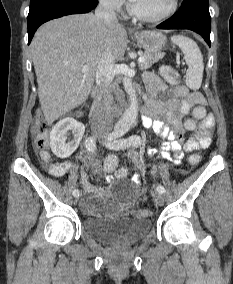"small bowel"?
<instances>
[{"label": "small bowel", "mask_w": 233, "mask_h": 284, "mask_svg": "<svg viewBox=\"0 0 233 284\" xmlns=\"http://www.w3.org/2000/svg\"><path fill=\"white\" fill-rule=\"evenodd\" d=\"M146 83L150 100L143 113V124L152 129L159 137L165 139L161 146V157L174 164H180L185 152H194L206 149L211 144V128L214 121L212 116H207L194 130V134L185 138V127L182 119L194 106H204V96L197 91H189L185 86H177L172 95L160 99L158 96L167 92L165 83L155 75H147ZM148 154L157 157L156 150H149ZM137 159V157H135ZM71 168L69 162H55L47 166L49 173L54 177H62ZM137 182V177L133 179ZM82 182L86 193L83 208L93 212L96 208L90 194L93 187L86 173L82 175Z\"/></svg>", "instance_id": "obj_1"}]
</instances>
